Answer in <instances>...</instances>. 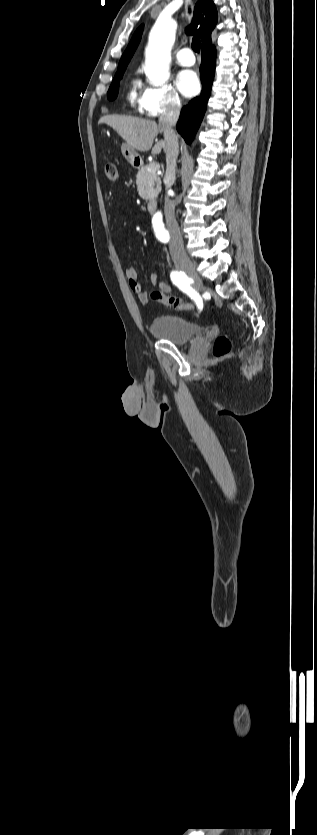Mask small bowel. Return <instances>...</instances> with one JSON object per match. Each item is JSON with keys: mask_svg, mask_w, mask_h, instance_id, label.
I'll return each mask as SVG.
<instances>
[{"mask_svg": "<svg viewBox=\"0 0 317 835\" xmlns=\"http://www.w3.org/2000/svg\"><path fill=\"white\" fill-rule=\"evenodd\" d=\"M127 277L132 291L137 294L142 303H147V294L138 281V274L134 267L130 266L127 268ZM150 282L153 286L158 287L163 293H170L172 290L170 285L160 280L158 275L154 272L150 273Z\"/></svg>", "mask_w": 317, "mask_h": 835, "instance_id": "small-bowel-1", "label": "small bowel"}]
</instances>
